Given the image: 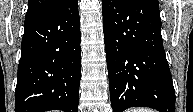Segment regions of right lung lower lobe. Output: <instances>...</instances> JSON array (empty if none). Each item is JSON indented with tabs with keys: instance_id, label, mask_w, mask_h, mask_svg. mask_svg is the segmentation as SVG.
Returning a JSON list of instances; mask_svg holds the SVG:
<instances>
[{
	"instance_id": "obj_1",
	"label": "right lung lower lobe",
	"mask_w": 193,
	"mask_h": 112,
	"mask_svg": "<svg viewBox=\"0 0 193 112\" xmlns=\"http://www.w3.org/2000/svg\"><path fill=\"white\" fill-rule=\"evenodd\" d=\"M15 93L16 112H78L81 74L77 0L25 20Z\"/></svg>"
}]
</instances>
